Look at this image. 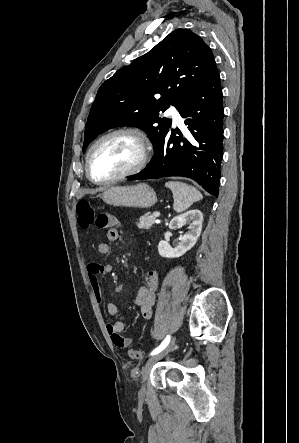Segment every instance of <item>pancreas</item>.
Instances as JSON below:
<instances>
[{"mask_svg": "<svg viewBox=\"0 0 299 443\" xmlns=\"http://www.w3.org/2000/svg\"><path fill=\"white\" fill-rule=\"evenodd\" d=\"M155 223V217L149 212L139 218L137 226L142 229H150Z\"/></svg>", "mask_w": 299, "mask_h": 443, "instance_id": "1", "label": "pancreas"}]
</instances>
